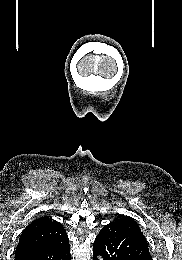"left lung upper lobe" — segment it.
I'll return each mask as SVG.
<instances>
[{
  "mask_svg": "<svg viewBox=\"0 0 182 260\" xmlns=\"http://www.w3.org/2000/svg\"><path fill=\"white\" fill-rule=\"evenodd\" d=\"M107 226L119 228L121 230L133 233V234L139 236L140 238L145 239V236L141 232L138 224L130 217L118 218V219L114 220L112 223L108 224Z\"/></svg>",
  "mask_w": 182,
  "mask_h": 260,
  "instance_id": "1",
  "label": "left lung upper lobe"
}]
</instances>
